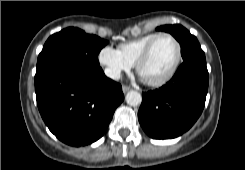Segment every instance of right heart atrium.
<instances>
[{
  "label": "right heart atrium",
  "mask_w": 245,
  "mask_h": 170,
  "mask_svg": "<svg viewBox=\"0 0 245 170\" xmlns=\"http://www.w3.org/2000/svg\"><path fill=\"white\" fill-rule=\"evenodd\" d=\"M98 60L104 67L106 76L111 79H118L123 72L132 67L120 50L110 46H105L100 50Z\"/></svg>",
  "instance_id": "d8ad5b80"
}]
</instances>
